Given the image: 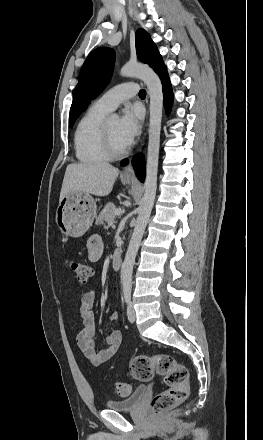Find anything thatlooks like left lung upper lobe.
I'll use <instances>...</instances> for the list:
<instances>
[{
    "label": "left lung upper lobe",
    "instance_id": "left-lung-upper-lobe-1",
    "mask_svg": "<svg viewBox=\"0 0 263 440\" xmlns=\"http://www.w3.org/2000/svg\"><path fill=\"white\" fill-rule=\"evenodd\" d=\"M136 51L139 60L148 64L154 70L164 64L155 43L143 29H138L136 32ZM114 57V51L106 47L95 49L87 57L81 68L79 81L74 91L70 108V127L73 126L90 101L109 83Z\"/></svg>",
    "mask_w": 263,
    "mask_h": 440
}]
</instances>
